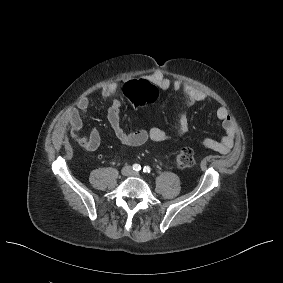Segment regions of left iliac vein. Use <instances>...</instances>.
Returning a JSON list of instances; mask_svg holds the SVG:
<instances>
[{"instance_id":"1","label":"left iliac vein","mask_w":283,"mask_h":283,"mask_svg":"<svg viewBox=\"0 0 283 283\" xmlns=\"http://www.w3.org/2000/svg\"><path fill=\"white\" fill-rule=\"evenodd\" d=\"M131 175L135 176V177H139L140 176V174L138 172H134V171L131 173Z\"/></svg>"}]
</instances>
